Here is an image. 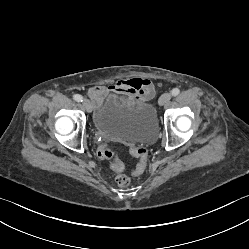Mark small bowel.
Returning <instances> with one entry per match:
<instances>
[{"mask_svg":"<svg viewBox=\"0 0 249 249\" xmlns=\"http://www.w3.org/2000/svg\"><path fill=\"white\" fill-rule=\"evenodd\" d=\"M154 92L152 82L140 78L122 79L110 86H95L89 89L90 97L98 103L111 93H117L129 97L134 102L141 103L151 99Z\"/></svg>","mask_w":249,"mask_h":249,"instance_id":"obj_1","label":"small bowel"}]
</instances>
